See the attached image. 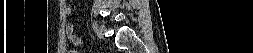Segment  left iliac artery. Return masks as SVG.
<instances>
[{
  "label": "left iliac artery",
  "instance_id": "obj_1",
  "mask_svg": "<svg viewBox=\"0 0 253 53\" xmlns=\"http://www.w3.org/2000/svg\"><path fill=\"white\" fill-rule=\"evenodd\" d=\"M92 26H93L94 31L97 32L98 31V25L95 21L93 22ZM95 36H98V33H95Z\"/></svg>",
  "mask_w": 253,
  "mask_h": 53
}]
</instances>
